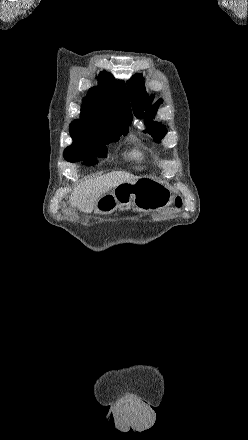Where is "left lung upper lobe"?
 I'll use <instances>...</instances> for the list:
<instances>
[{"instance_id":"obj_1","label":"left lung upper lobe","mask_w":248,"mask_h":440,"mask_svg":"<svg viewBox=\"0 0 248 440\" xmlns=\"http://www.w3.org/2000/svg\"><path fill=\"white\" fill-rule=\"evenodd\" d=\"M138 85V87L136 86ZM128 91L133 105L134 115L138 118L144 116V110L147 111L153 101V96L148 98L144 84L143 77L140 74L133 76L128 82ZM162 103V100H158L148 111V115L145 116L144 123L147 125L144 133H149L155 139L156 142H160L164 135L167 133L165 126L161 123L153 121V116L156 114L158 105Z\"/></svg>"}]
</instances>
